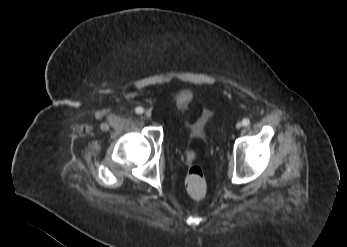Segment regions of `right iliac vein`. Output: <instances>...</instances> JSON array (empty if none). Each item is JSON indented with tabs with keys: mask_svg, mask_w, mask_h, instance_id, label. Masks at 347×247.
<instances>
[{
	"mask_svg": "<svg viewBox=\"0 0 347 247\" xmlns=\"http://www.w3.org/2000/svg\"><path fill=\"white\" fill-rule=\"evenodd\" d=\"M144 115H145L147 118H150L151 115H152V113H151L150 110H146V111L144 112Z\"/></svg>",
	"mask_w": 347,
	"mask_h": 247,
	"instance_id": "right-iliac-vein-1",
	"label": "right iliac vein"
}]
</instances>
